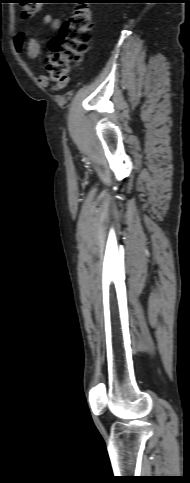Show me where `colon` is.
<instances>
[{"label": "colon", "instance_id": "obj_1", "mask_svg": "<svg viewBox=\"0 0 190 483\" xmlns=\"http://www.w3.org/2000/svg\"><path fill=\"white\" fill-rule=\"evenodd\" d=\"M23 18H33L41 9L39 0H24ZM93 29V15L88 6H78L63 23L58 34L49 42L51 54L47 57L46 70L49 78L59 87L68 82L72 64L82 61L88 52Z\"/></svg>", "mask_w": 190, "mask_h": 483}]
</instances>
